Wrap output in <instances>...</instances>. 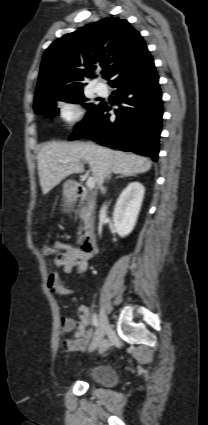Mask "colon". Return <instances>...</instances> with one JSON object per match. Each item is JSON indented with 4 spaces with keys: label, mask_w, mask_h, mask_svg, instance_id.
<instances>
[{
    "label": "colon",
    "mask_w": 208,
    "mask_h": 425,
    "mask_svg": "<svg viewBox=\"0 0 208 425\" xmlns=\"http://www.w3.org/2000/svg\"><path fill=\"white\" fill-rule=\"evenodd\" d=\"M39 250L44 256H47V257L53 256L56 253V250L48 244H41L39 246Z\"/></svg>",
    "instance_id": "colon-1"
}]
</instances>
